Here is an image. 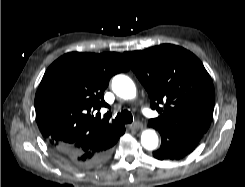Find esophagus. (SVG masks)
I'll list each match as a JSON object with an SVG mask.
<instances>
[{
  "instance_id": "esophagus-1",
  "label": "esophagus",
  "mask_w": 245,
  "mask_h": 187,
  "mask_svg": "<svg viewBox=\"0 0 245 187\" xmlns=\"http://www.w3.org/2000/svg\"><path fill=\"white\" fill-rule=\"evenodd\" d=\"M129 128L131 130H139V129L143 128V125L140 122H135V123L129 125Z\"/></svg>"
}]
</instances>
